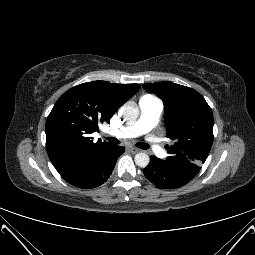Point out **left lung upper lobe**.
I'll use <instances>...</instances> for the list:
<instances>
[{
  "label": "left lung upper lobe",
  "mask_w": 255,
  "mask_h": 255,
  "mask_svg": "<svg viewBox=\"0 0 255 255\" xmlns=\"http://www.w3.org/2000/svg\"><path fill=\"white\" fill-rule=\"evenodd\" d=\"M158 95L165 110L166 137L175 140L164 164L196 175L213 142V114L194 89L172 82L144 84Z\"/></svg>",
  "instance_id": "left-lung-upper-lobe-1"
}]
</instances>
